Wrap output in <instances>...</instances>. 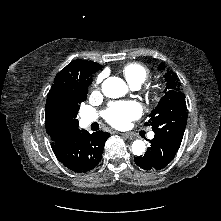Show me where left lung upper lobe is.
Masks as SVG:
<instances>
[{"label":"left lung upper lobe","mask_w":221,"mask_h":221,"mask_svg":"<svg viewBox=\"0 0 221 221\" xmlns=\"http://www.w3.org/2000/svg\"><path fill=\"white\" fill-rule=\"evenodd\" d=\"M163 65L160 64L159 70L164 69ZM164 76L167 81L165 95L151 112L150 120L145 125L150 124L157 135L182 141L187 122L185 95L180 89L176 74L168 70Z\"/></svg>","instance_id":"obj_1"}]
</instances>
